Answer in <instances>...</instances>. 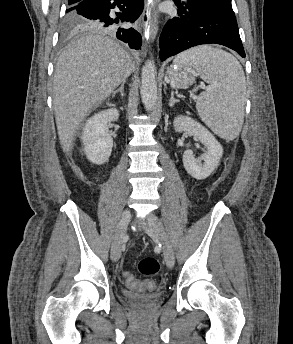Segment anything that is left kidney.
Masks as SVG:
<instances>
[{"label":"left kidney","instance_id":"left-kidney-1","mask_svg":"<svg viewBox=\"0 0 293 344\" xmlns=\"http://www.w3.org/2000/svg\"><path fill=\"white\" fill-rule=\"evenodd\" d=\"M176 132H192L194 137L206 148L203 155V163L196 159L191 150H186L183 154V165L186 171L195 179L203 180L219 165L223 155V148L211 132L201 123L188 116H178L173 121Z\"/></svg>","mask_w":293,"mask_h":344}]
</instances>
